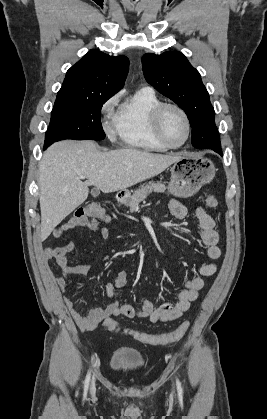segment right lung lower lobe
Segmentation results:
<instances>
[{"label":"right lung lower lobe","mask_w":267,"mask_h":419,"mask_svg":"<svg viewBox=\"0 0 267 419\" xmlns=\"http://www.w3.org/2000/svg\"><path fill=\"white\" fill-rule=\"evenodd\" d=\"M48 146H49L48 143H45L44 144V149H46Z\"/></svg>","instance_id":"right-lung-lower-lobe-1"}]
</instances>
